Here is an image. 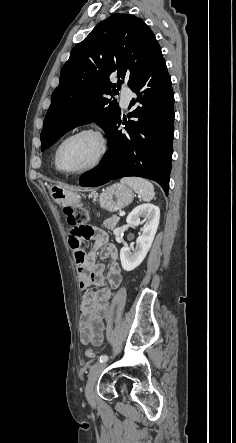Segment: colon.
<instances>
[{
  "mask_svg": "<svg viewBox=\"0 0 236 443\" xmlns=\"http://www.w3.org/2000/svg\"><path fill=\"white\" fill-rule=\"evenodd\" d=\"M64 215L68 224L74 227L72 233L79 235L84 240H90L92 238L93 227L88 225L90 215L85 208L66 207L64 209ZM85 356L89 359H93L95 353L92 349H87L85 351Z\"/></svg>",
  "mask_w": 236,
  "mask_h": 443,
  "instance_id": "1",
  "label": "colon"
}]
</instances>
